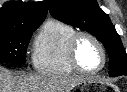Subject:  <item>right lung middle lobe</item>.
<instances>
[{"mask_svg": "<svg viewBox=\"0 0 127 92\" xmlns=\"http://www.w3.org/2000/svg\"><path fill=\"white\" fill-rule=\"evenodd\" d=\"M38 26L0 31V63L24 64L32 33Z\"/></svg>", "mask_w": 127, "mask_h": 92, "instance_id": "obj_1", "label": "right lung middle lobe"}]
</instances>
